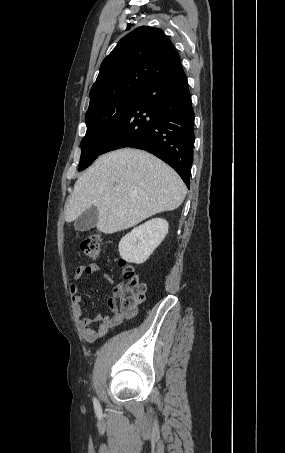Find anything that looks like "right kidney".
Wrapping results in <instances>:
<instances>
[{"label": "right kidney", "instance_id": "obj_1", "mask_svg": "<svg viewBox=\"0 0 285 453\" xmlns=\"http://www.w3.org/2000/svg\"><path fill=\"white\" fill-rule=\"evenodd\" d=\"M168 228V222L162 218H154L137 226L121 239V258L135 264L144 263L163 241Z\"/></svg>", "mask_w": 285, "mask_h": 453}]
</instances>
